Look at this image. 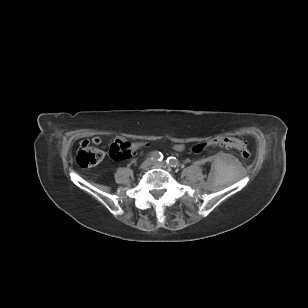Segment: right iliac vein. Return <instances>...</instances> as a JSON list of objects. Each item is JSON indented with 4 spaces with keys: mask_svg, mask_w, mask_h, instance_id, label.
<instances>
[{
    "mask_svg": "<svg viewBox=\"0 0 308 308\" xmlns=\"http://www.w3.org/2000/svg\"><path fill=\"white\" fill-rule=\"evenodd\" d=\"M152 160L150 159H146L145 161H143L140 165V169H146L148 168L151 164H152Z\"/></svg>",
    "mask_w": 308,
    "mask_h": 308,
    "instance_id": "63e3f726",
    "label": "right iliac vein"
}]
</instances>
